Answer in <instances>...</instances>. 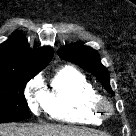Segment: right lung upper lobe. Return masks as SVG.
Wrapping results in <instances>:
<instances>
[{
	"label": "right lung upper lobe",
	"instance_id": "cb5924a9",
	"mask_svg": "<svg viewBox=\"0 0 136 136\" xmlns=\"http://www.w3.org/2000/svg\"><path fill=\"white\" fill-rule=\"evenodd\" d=\"M52 57V48L31 50L23 33L17 31L0 45V76L15 73L36 75L47 66Z\"/></svg>",
	"mask_w": 136,
	"mask_h": 136
}]
</instances>
